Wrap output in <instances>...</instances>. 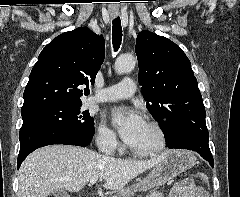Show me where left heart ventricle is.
Returning <instances> with one entry per match:
<instances>
[{
	"instance_id": "b2bd125f",
	"label": "left heart ventricle",
	"mask_w": 240,
	"mask_h": 197,
	"mask_svg": "<svg viewBox=\"0 0 240 197\" xmlns=\"http://www.w3.org/2000/svg\"><path fill=\"white\" fill-rule=\"evenodd\" d=\"M155 142L156 137L154 131L147 124H145L138 138L132 144H130V146L134 148H148L152 147Z\"/></svg>"
}]
</instances>
